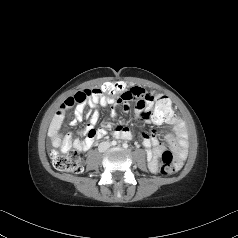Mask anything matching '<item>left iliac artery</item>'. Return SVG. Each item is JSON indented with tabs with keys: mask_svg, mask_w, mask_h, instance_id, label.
Masks as SVG:
<instances>
[{
	"mask_svg": "<svg viewBox=\"0 0 238 238\" xmlns=\"http://www.w3.org/2000/svg\"><path fill=\"white\" fill-rule=\"evenodd\" d=\"M123 147H124V148H128V144H127V143H124V144H123Z\"/></svg>",
	"mask_w": 238,
	"mask_h": 238,
	"instance_id": "1",
	"label": "left iliac artery"
}]
</instances>
